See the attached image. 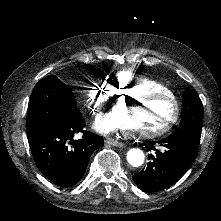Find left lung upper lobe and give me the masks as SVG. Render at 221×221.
I'll return each instance as SVG.
<instances>
[{
	"label": "left lung upper lobe",
	"mask_w": 221,
	"mask_h": 221,
	"mask_svg": "<svg viewBox=\"0 0 221 221\" xmlns=\"http://www.w3.org/2000/svg\"><path fill=\"white\" fill-rule=\"evenodd\" d=\"M203 124V105L197 92L187 89L184 92L180 128L201 135Z\"/></svg>",
	"instance_id": "5c2ea615"
}]
</instances>
